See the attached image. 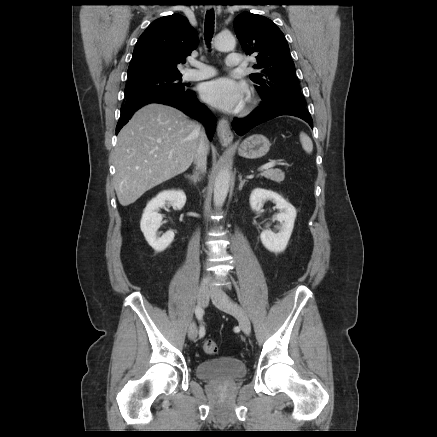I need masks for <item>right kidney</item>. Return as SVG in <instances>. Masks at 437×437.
Listing matches in <instances>:
<instances>
[{
	"mask_svg": "<svg viewBox=\"0 0 437 437\" xmlns=\"http://www.w3.org/2000/svg\"><path fill=\"white\" fill-rule=\"evenodd\" d=\"M185 203L186 195L182 190H166L160 192L147 204L140 228L146 241L156 252L164 251L174 240V232L171 230L161 237L157 233L162 221V215L158 213L159 209L168 205L180 210Z\"/></svg>",
	"mask_w": 437,
	"mask_h": 437,
	"instance_id": "1",
	"label": "right kidney"
}]
</instances>
